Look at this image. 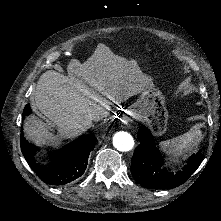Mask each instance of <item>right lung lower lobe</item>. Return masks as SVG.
<instances>
[{
    "label": "right lung lower lobe",
    "mask_w": 221,
    "mask_h": 221,
    "mask_svg": "<svg viewBox=\"0 0 221 221\" xmlns=\"http://www.w3.org/2000/svg\"><path fill=\"white\" fill-rule=\"evenodd\" d=\"M30 113L31 107L27 104L23 118ZM96 141L92 134L83 135L62 149L51 152L49 164L41 166L35 158L37 147L28 142L23 133L20 136L21 151L26 161L43 182L51 185H64L80 177L87 168L88 157Z\"/></svg>",
    "instance_id": "obj_1"
}]
</instances>
